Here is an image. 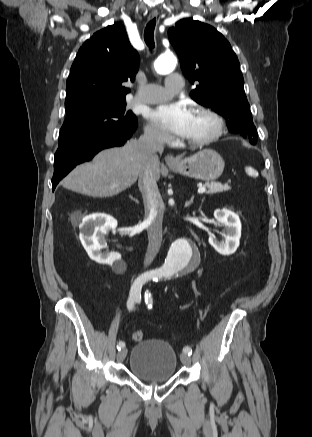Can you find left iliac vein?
Listing matches in <instances>:
<instances>
[{"mask_svg": "<svg viewBox=\"0 0 312 437\" xmlns=\"http://www.w3.org/2000/svg\"><path fill=\"white\" fill-rule=\"evenodd\" d=\"M180 358L184 365L189 366L191 364V357L187 353L183 352Z\"/></svg>", "mask_w": 312, "mask_h": 437, "instance_id": "1", "label": "left iliac vein"}]
</instances>
